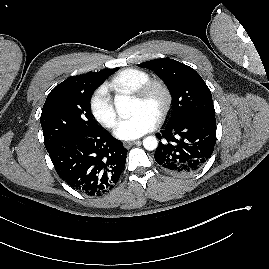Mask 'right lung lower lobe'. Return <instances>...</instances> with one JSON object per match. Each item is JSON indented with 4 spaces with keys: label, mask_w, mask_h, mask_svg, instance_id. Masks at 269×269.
I'll return each mask as SVG.
<instances>
[{
    "label": "right lung lower lobe",
    "mask_w": 269,
    "mask_h": 269,
    "mask_svg": "<svg viewBox=\"0 0 269 269\" xmlns=\"http://www.w3.org/2000/svg\"><path fill=\"white\" fill-rule=\"evenodd\" d=\"M58 175L73 189L101 196L118 182L127 150L101 129L63 138L47 150Z\"/></svg>",
    "instance_id": "1"
}]
</instances>
